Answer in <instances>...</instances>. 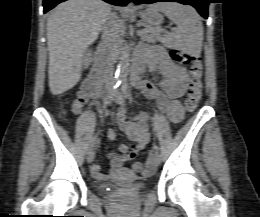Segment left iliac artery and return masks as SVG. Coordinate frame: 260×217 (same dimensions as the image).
Masks as SVG:
<instances>
[{
    "label": "left iliac artery",
    "instance_id": "obj_1",
    "mask_svg": "<svg viewBox=\"0 0 260 217\" xmlns=\"http://www.w3.org/2000/svg\"><path fill=\"white\" fill-rule=\"evenodd\" d=\"M122 92L126 98H128L130 101L132 100L131 95L128 90V84L126 82L122 83ZM153 149L156 152L159 151V147L156 144H154Z\"/></svg>",
    "mask_w": 260,
    "mask_h": 217
}]
</instances>
